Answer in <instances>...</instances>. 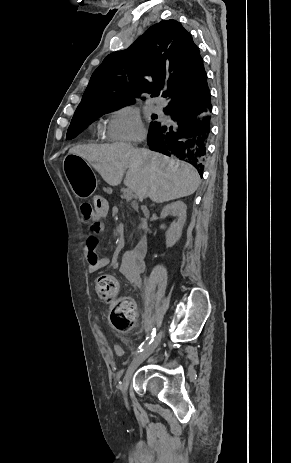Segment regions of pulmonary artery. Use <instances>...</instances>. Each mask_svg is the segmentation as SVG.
<instances>
[{
	"instance_id": "obj_1",
	"label": "pulmonary artery",
	"mask_w": 291,
	"mask_h": 463,
	"mask_svg": "<svg viewBox=\"0 0 291 463\" xmlns=\"http://www.w3.org/2000/svg\"><path fill=\"white\" fill-rule=\"evenodd\" d=\"M154 109L156 111H160L162 109V104L160 102H157L154 104Z\"/></svg>"
}]
</instances>
